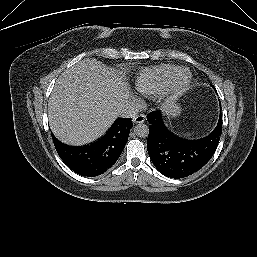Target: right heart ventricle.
<instances>
[{"label":"right heart ventricle","mask_w":257,"mask_h":257,"mask_svg":"<svg viewBox=\"0 0 257 257\" xmlns=\"http://www.w3.org/2000/svg\"><path fill=\"white\" fill-rule=\"evenodd\" d=\"M177 69L171 64H161L143 69L134 81V87L137 93L145 98L157 96L169 75Z\"/></svg>","instance_id":"e07e8e85"}]
</instances>
